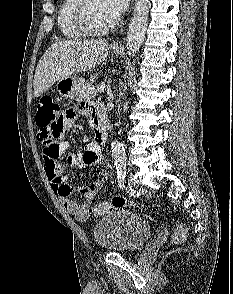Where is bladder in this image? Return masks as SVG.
Here are the masks:
<instances>
[{
    "label": "bladder",
    "mask_w": 233,
    "mask_h": 294,
    "mask_svg": "<svg viewBox=\"0 0 233 294\" xmlns=\"http://www.w3.org/2000/svg\"><path fill=\"white\" fill-rule=\"evenodd\" d=\"M97 245L110 252L140 250L151 235V228L138 214L119 209L99 219L93 229Z\"/></svg>",
    "instance_id": "31cf9c89"
}]
</instances>
